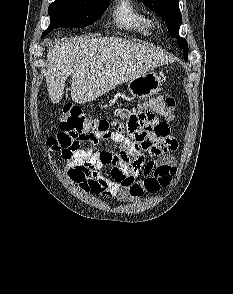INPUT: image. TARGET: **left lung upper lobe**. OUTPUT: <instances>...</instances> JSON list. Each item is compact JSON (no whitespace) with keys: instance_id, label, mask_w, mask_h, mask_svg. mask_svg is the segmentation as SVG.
<instances>
[{"instance_id":"1","label":"left lung upper lobe","mask_w":233,"mask_h":294,"mask_svg":"<svg viewBox=\"0 0 233 294\" xmlns=\"http://www.w3.org/2000/svg\"><path fill=\"white\" fill-rule=\"evenodd\" d=\"M151 10L156 12L166 23L172 37L176 38L180 49H183L184 58H188L187 41L178 34L182 17L178 0H140Z\"/></svg>"}]
</instances>
